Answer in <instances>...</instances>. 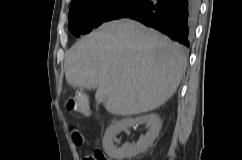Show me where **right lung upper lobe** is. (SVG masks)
<instances>
[{"mask_svg":"<svg viewBox=\"0 0 242 160\" xmlns=\"http://www.w3.org/2000/svg\"><path fill=\"white\" fill-rule=\"evenodd\" d=\"M81 1H83V0H72L71 6L77 4V3L81 2Z\"/></svg>","mask_w":242,"mask_h":160,"instance_id":"right-lung-upper-lobe-1","label":"right lung upper lobe"}]
</instances>
